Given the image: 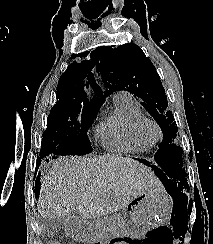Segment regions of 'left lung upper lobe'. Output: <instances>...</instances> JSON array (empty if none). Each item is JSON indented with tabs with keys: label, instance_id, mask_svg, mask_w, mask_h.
Listing matches in <instances>:
<instances>
[{
	"label": "left lung upper lobe",
	"instance_id": "1",
	"mask_svg": "<svg viewBox=\"0 0 213 244\" xmlns=\"http://www.w3.org/2000/svg\"><path fill=\"white\" fill-rule=\"evenodd\" d=\"M97 72L108 88L106 96L118 90H126L140 98L142 106L156 120L163 132V142L155 158L167 161L170 177L176 186H188L182 161L183 149L175 143L177 126L160 76L151 60L136 44H124L117 48L105 47L97 60Z\"/></svg>",
	"mask_w": 213,
	"mask_h": 244
}]
</instances>
